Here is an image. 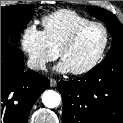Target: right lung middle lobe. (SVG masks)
Returning <instances> with one entry per match:
<instances>
[{
	"mask_svg": "<svg viewBox=\"0 0 123 123\" xmlns=\"http://www.w3.org/2000/svg\"><path fill=\"white\" fill-rule=\"evenodd\" d=\"M34 14L31 5H14L1 7V42L16 45L19 34Z\"/></svg>",
	"mask_w": 123,
	"mask_h": 123,
	"instance_id": "right-lung-middle-lobe-1",
	"label": "right lung middle lobe"
}]
</instances>
